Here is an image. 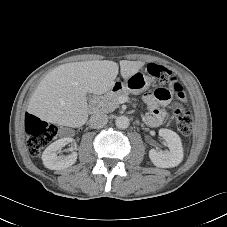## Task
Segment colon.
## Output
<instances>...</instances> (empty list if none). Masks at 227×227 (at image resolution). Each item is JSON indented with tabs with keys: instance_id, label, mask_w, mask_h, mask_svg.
<instances>
[{
	"instance_id": "1",
	"label": "colon",
	"mask_w": 227,
	"mask_h": 227,
	"mask_svg": "<svg viewBox=\"0 0 227 227\" xmlns=\"http://www.w3.org/2000/svg\"><path fill=\"white\" fill-rule=\"evenodd\" d=\"M148 72L159 79L160 87H168L180 100L183 101L185 99L182 85L170 70L157 64H150L148 66ZM173 115L179 131L184 135H189L193 128L192 114L182 104L178 103L173 108ZM25 130L28 134V151L33 156L38 155L58 134L57 126L47 123L32 114L25 116Z\"/></svg>"
}]
</instances>
